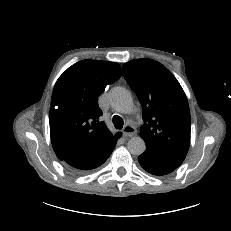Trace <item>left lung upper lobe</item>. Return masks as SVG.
Returning a JSON list of instances; mask_svg holds the SVG:
<instances>
[{
	"label": "left lung upper lobe",
	"mask_w": 231,
	"mask_h": 231,
	"mask_svg": "<svg viewBox=\"0 0 231 231\" xmlns=\"http://www.w3.org/2000/svg\"><path fill=\"white\" fill-rule=\"evenodd\" d=\"M123 76L143 108L140 135L147 148L186 156L190 145V110L186 95L174 75L152 59L123 65Z\"/></svg>",
	"instance_id": "left-lung-upper-lobe-1"
}]
</instances>
